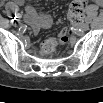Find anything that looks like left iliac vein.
<instances>
[{"label": "left iliac vein", "mask_w": 103, "mask_h": 103, "mask_svg": "<svg viewBox=\"0 0 103 103\" xmlns=\"http://www.w3.org/2000/svg\"><path fill=\"white\" fill-rule=\"evenodd\" d=\"M80 29H81L82 31H87V30L89 29V25H88L87 23H84V24H82V25L80 26Z\"/></svg>", "instance_id": "1"}]
</instances>
